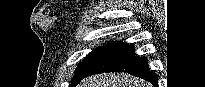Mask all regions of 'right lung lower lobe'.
Wrapping results in <instances>:
<instances>
[{
    "mask_svg": "<svg viewBox=\"0 0 205 87\" xmlns=\"http://www.w3.org/2000/svg\"><path fill=\"white\" fill-rule=\"evenodd\" d=\"M148 60L134 52V46L122 44L93 65L83 76L104 72H126L157 86L158 76L149 70Z\"/></svg>",
    "mask_w": 205,
    "mask_h": 87,
    "instance_id": "right-lung-lower-lobe-1",
    "label": "right lung lower lobe"
}]
</instances>
